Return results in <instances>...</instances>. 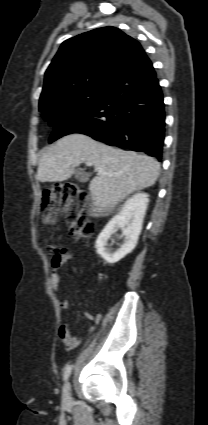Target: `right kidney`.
Returning a JSON list of instances; mask_svg holds the SVG:
<instances>
[{
	"label": "right kidney",
	"instance_id": "1",
	"mask_svg": "<svg viewBox=\"0 0 208 425\" xmlns=\"http://www.w3.org/2000/svg\"><path fill=\"white\" fill-rule=\"evenodd\" d=\"M148 202V194L146 193L133 195L99 234L95 247L97 253L109 264L118 262L136 247ZM119 228L123 231L124 243L118 250L111 252L107 248V241Z\"/></svg>",
	"mask_w": 208,
	"mask_h": 425
}]
</instances>
